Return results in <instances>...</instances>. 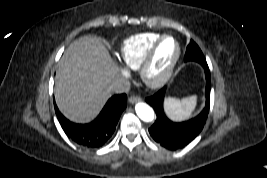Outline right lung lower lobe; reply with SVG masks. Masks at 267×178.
Instances as JSON below:
<instances>
[{"label":"right lung lower lobe","instance_id":"98d812e1","mask_svg":"<svg viewBox=\"0 0 267 178\" xmlns=\"http://www.w3.org/2000/svg\"><path fill=\"white\" fill-rule=\"evenodd\" d=\"M126 104L125 94L114 95L108 100L98 117L88 124L69 121L56 105L55 112L64 132L72 141L83 147L98 148L104 145L114 133Z\"/></svg>","mask_w":267,"mask_h":178}]
</instances>
